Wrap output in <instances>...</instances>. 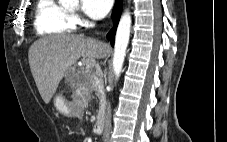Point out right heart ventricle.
Returning a JSON list of instances; mask_svg holds the SVG:
<instances>
[{
    "mask_svg": "<svg viewBox=\"0 0 227 142\" xmlns=\"http://www.w3.org/2000/svg\"><path fill=\"white\" fill-rule=\"evenodd\" d=\"M34 28L41 36L62 35L74 28V22L70 13L57 0H37Z\"/></svg>",
    "mask_w": 227,
    "mask_h": 142,
    "instance_id": "obj_1",
    "label": "right heart ventricle"
}]
</instances>
